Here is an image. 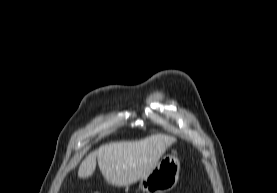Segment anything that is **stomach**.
Returning a JSON list of instances; mask_svg holds the SVG:
<instances>
[{"mask_svg": "<svg viewBox=\"0 0 277 193\" xmlns=\"http://www.w3.org/2000/svg\"><path fill=\"white\" fill-rule=\"evenodd\" d=\"M179 172V159L167 154L151 172L140 179L139 187L145 193H166L176 186Z\"/></svg>", "mask_w": 277, "mask_h": 193, "instance_id": "stomach-1", "label": "stomach"}]
</instances>
